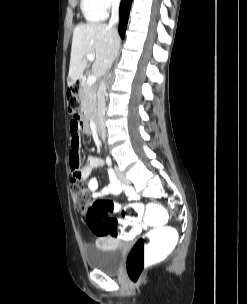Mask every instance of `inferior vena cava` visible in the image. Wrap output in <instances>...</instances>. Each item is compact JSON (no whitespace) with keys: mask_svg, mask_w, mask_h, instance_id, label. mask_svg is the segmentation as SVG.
<instances>
[{"mask_svg":"<svg viewBox=\"0 0 247 304\" xmlns=\"http://www.w3.org/2000/svg\"><path fill=\"white\" fill-rule=\"evenodd\" d=\"M119 4L120 0H113L112 1V12H111V18L109 21V27H113L119 22ZM105 92H106V86L104 83V80L101 82L98 93H97V117H98V126L101 131V137L102 140L105 141L106 138V129H105V121H104V115H105Z\"/></svg>","mask_w":247,"mask_h":304,"instance_id":"602c4592","label":"inferior vena cava"}]
</instances>
